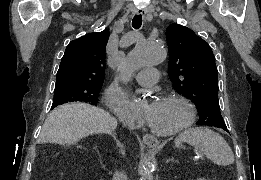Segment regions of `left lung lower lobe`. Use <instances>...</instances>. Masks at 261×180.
I'll return each instance as SVG.
<instances>
[{
  "label": "left lung lower lobe",
  "instance_id": "obj_1",
  "mask_svg": "<svg viewBox=\"0 0 261 180\" xmlns=\"http://www.w3.org/2000/svg\"><path fill=\"white\" fill-rule=\"evenodd\" d=\"M223 129L227 131V128H223Z\"/></svg>",
  "mask_w": 261,
  "mask_h": 180
}]
</instances>
